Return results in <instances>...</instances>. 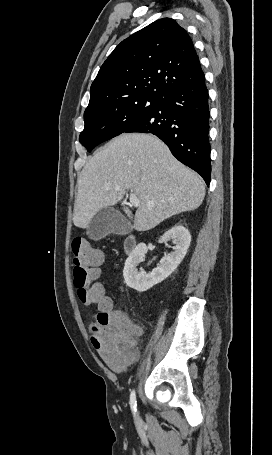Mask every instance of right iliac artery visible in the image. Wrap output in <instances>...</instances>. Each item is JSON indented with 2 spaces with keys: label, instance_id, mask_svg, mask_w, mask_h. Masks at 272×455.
I'll list each match as a JSON object with an SVG mask.
<instances>
[{
  "label": "right iliac artery",
  "instance_id": "right-iliac-artery-1",
  "mask_svg": "<svg viewBox=\"0 0 272 455\" xmlns=\"http://www.w3.org/2000/svg\"><path fill=\"white\" fill-rule=\"evenodd\" d=\"M130 406H131V410H132L133 414L136 415L137 404H136V394H135L134 390L130 394Z\"/></svg>",
  "mask_w": 272,
  "mask_h": 455
}]
</instances>
